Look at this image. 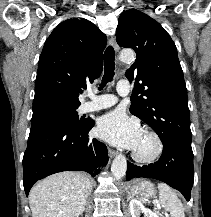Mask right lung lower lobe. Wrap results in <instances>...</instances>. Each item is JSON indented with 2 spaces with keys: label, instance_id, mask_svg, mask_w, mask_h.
I'll return each mask as SVG.
<instances>
[{
  "label": "right lung lower lobe",
  "instance_id": "98d812e1",
  "mask_svg": "<svg viewBox=\"0 0 211 217\" xmlns=\"http://www.w3.org/2000/svg\"><path fill=\"white\" fill-rule=\"evenodd\" d=\"M94 121L86 119L81 128L57 124L31 126L23 157L24 190L28 195L39 179L62 171H85L93 177L108 161L107 147L88 137Z\"/></svg>",
  "mask_w": 211,
  "mask_h": 217
}]
</instances>
